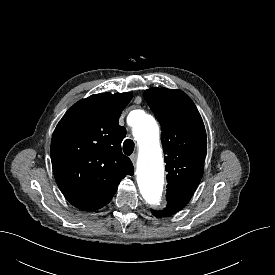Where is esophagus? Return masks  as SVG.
I'll return each mask as SVG.
<instances>
[{
	"instance_id": "34e87169",
	"label": "esophagus",
	"mask_w": 275,
	"mask_h": 275,
	"mask_svg": "<svg viewBox=\"0 0 275 275\" xmlns=\"http://www.w3.org/2000/svg\"><path fill=\"white\" fill-rule=\"evenodd\" d=\"M130 159L132 161L133 164L136 163V160H137V154L136 153H133L131 156H130Z\"/></svg>"
}]
</instances>
